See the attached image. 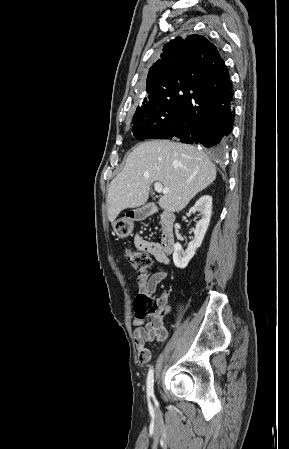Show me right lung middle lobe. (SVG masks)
<instances>
[{
	"mask_svg": "<svg viewBox=\"0 0 289 449\" xmlns=\"http://www.w3.org/2000/svg\"><path fill=\"white\" fill-rule=\"evenodd\" d=\"M178 97L177 89H164L145 97L133 117L134 137L143 141L170 126L177 115Z\"/></svg>",
	"mask_w": 289,
	"mask_h": 449,
	"instance_id": "right-lung-middle-lobe-1",
	"label": "right lung middle lobe"
}]
</instances>
